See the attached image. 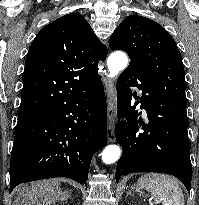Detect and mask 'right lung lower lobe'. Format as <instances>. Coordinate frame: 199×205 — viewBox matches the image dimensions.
I'll return each instance as SVG.
<instances>
[{"mask_svg": "<svg viewBox=\"0 0 199 205\" xmlns=\"http://www.w3.org/2000/svg\"><path fill=\"white\" fill-rule=\"evenodd\" d=\"M101 79L15 129L10 192L20 183L67 177L86 184L92 156L107 139Z\"/></svg>", "mask_w": 199, "mask_h": 205, "instance_id": "1", "label": "right lung lower lobe"}]
</instances>
